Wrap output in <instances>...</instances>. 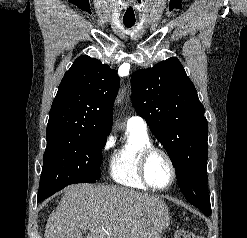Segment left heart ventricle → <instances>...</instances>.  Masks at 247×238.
<instances>
[{
	"label": "left heart ventricle",
	"mask_w": 247,
	"mask_h": 238,
	"mask_svg": "<svg viewBox=\"0 0 247 238\" xmlns=\"http://www.w3.org/2000/svg\"><path fill=\"white\" fill-rule=\"evenodd\" d=\"M147 175L154 186H166L171 180V169L167 160L160 154H153L147 164Z\"/></svg>",
	"instance_id": "1"
}]
</instances>
